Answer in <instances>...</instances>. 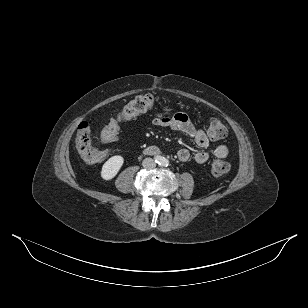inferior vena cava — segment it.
Listing matches in <instances>:
<instances>
[{
	"instance_id": "602c4592",
	"label": "inferior vena cava",
	"mask_w": 308,
	"mask_h": 308,
	"mask_svg": "<svg viewBox=\"0 0 308 308\" xmlns=\"http://www.w3.org/2000/svg\"><path fill=\"white\" fill-rule=\"evenodd\" d=\"M142 165L144 168H154L156 166V162L152 158H145Z\"/></svg>"
}]
</instances>
